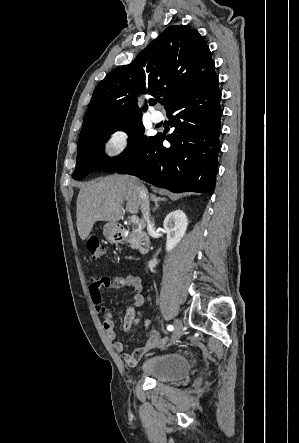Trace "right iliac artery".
I'll return each mask as SVG.
<instances>
[{
  "label": "right iliac artery",
  "instance_id": "1",
  "mask_svg": "<svg viewBox=\"0 0 299 443\" xmlns=\"http://www.w3.org/2000/svg\"><path fill=\"white\" fill-rule=\"evenodd\" d=\"M167 329H168L169 331H172V330L174 329V327H173L172 325H168V326H167Z\"/></svg>",
  "mask_w": 299,
  "mask_h": 443
}]
</instances>
